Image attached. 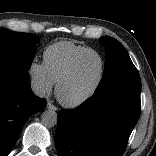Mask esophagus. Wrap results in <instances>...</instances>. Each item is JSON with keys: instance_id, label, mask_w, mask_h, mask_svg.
<instances>
[{"instance_id": "obj_1", "label": "esophagus", "mask_w": 156, "mask_h": 156, "mask_svg": "<svg viewBox=\"0 0 156 156\" xmlns=\"http://www.w3.org/2000/svg\"><path fill=\"white\" fill-rule=\"evenodd\" d=\"M47 108L49 109V110H53V111H56L58 108L55 106V105H53L50 101H48L47 102Z\"/></svg>"}]
</instances>
